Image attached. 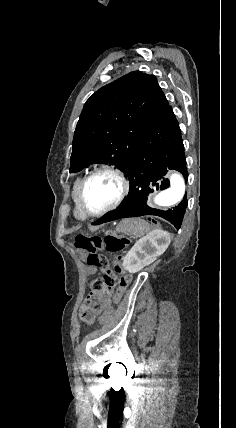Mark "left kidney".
I'll return each mask as SVG.
<instances>
[{
	"mask_svg": "<svg viewBox=\"0 0 236 428\" xmlns=\"http://www.w3.org/2000/svg\"><path fill=\"white\" fill-rule=\"evenodd\" d=\"M170 244L168 232L163 230H151L147 236L140 238L130 252L123 258V268L129 274H136L157 260L164 254Z\"/></svg>",
	"mask_w": 236,
	"mask_h": 428,
	"instance_id": "1",
	"label": "left kidney"
}]
</instances>
